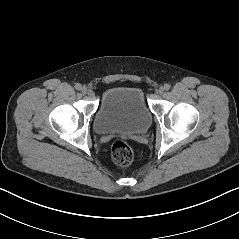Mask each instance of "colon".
<instances>
[{"instance_id":"1","label":"colon","mask_w":239,"mask_h":239,"mask_svg":"<svg viewBox=\"0 0 239 239\" xmlns=\"http://www.w3.org/2000/svg\"><path fill=\"white\" fill-rule=\"evenodd\" d=\"M111 157L117 165L128 166L133 161L134 153L125 141L116 140L111 145Z\"/></svg>"}]
</instances>
